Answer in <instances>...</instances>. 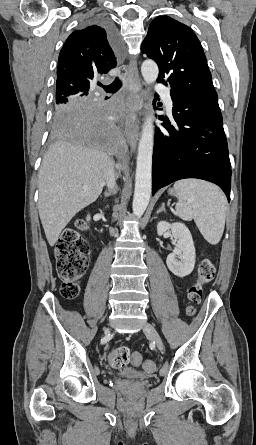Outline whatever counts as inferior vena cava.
<instances>
[{"instance_id": "1", "label": "inferior vena cava", "mask_w": 256, "mask_h": 445, "mask_svg": "<svg viewBox=\"0 0 256 445\" xmlns=\"http://www.w3.org/2000/svg\"><path fill=\"white\" fill-rule=\"evenodd\" d=\"M106 185L110 192H113L115 188V174H114V162L110 161V166L106 175Z\"/></svg>"}]
</instances>
